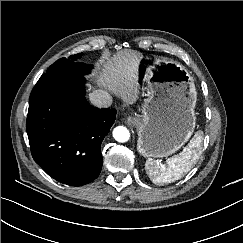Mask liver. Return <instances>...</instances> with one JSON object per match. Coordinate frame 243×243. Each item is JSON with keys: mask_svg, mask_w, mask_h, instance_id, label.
Masks as SVG:
<instances>
[{"mask_svg": "<svg viewBox=\"0 0 243 243\" xmlns=\"http://www.w3.org/2000/svg\"><path fill=\"white\" fill-rule=\"evenodd\" d=\"M140 58L141 54L133 50H123L108 58L96 77L97 84L133 104L139 94L136 71Z\"/></svg>", "mask_w": 243, "mask_h": 243, "instance_id": "1", "label": "liver"}]
</instances>
